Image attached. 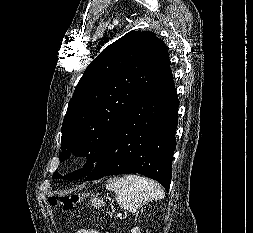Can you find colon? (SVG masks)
I'll use <instances>...</instances> for the list:
<instances>
[{"label": "colon", "instance_id": "colon-1", "mask_svg": "<svg viewBox=\"0 0 253 233\" xmlns=\"http://www.w3.org/2000/svg\"><path fill=\"white\" fill-rule=\"evenodd\" d=\"M82 199H83L82 194L73 193L67 195L51 196L49 198V203L53 207H57L59 209L68 211L73 209Z\"/></svg>", "mask_w": 253, "mask_h": 233}]
</instances>
